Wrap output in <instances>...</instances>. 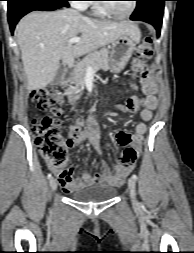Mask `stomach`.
<instances>
[{
    "label": "stomach",
    "mask_w": 194,
    "mask_h": 253,
    "mask_svg": "<svg viewBox=\"0 0 194 253\" xmlns=\"http://www.w3.org/2000/svg\"><path fill=\"white\" fill-rule=\"evenodd\" d=\"M135 47L136 38L129 34L120 36L112 43L109 63L113 72L118 73L124 68Z\"/></svg>",
    "instance_id": "obj_1"
}]
</instances>
